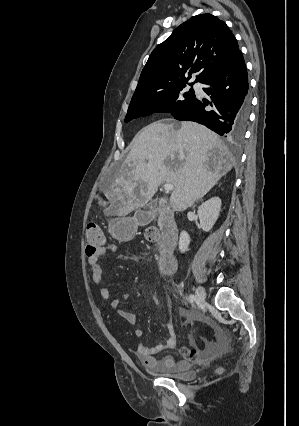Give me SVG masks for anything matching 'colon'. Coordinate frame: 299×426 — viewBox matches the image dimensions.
Instances as JSON below:
<instances>
[{"label": "colon", "instance_id": "1", "mask_svg": "<svg viewBox=\"0 0 299 426\" xmlns=\"http://www.w3.org/2000/svg\"><path fill=\"white\" fill-rule=\"evenodd\" d=\"M86 236V255L92 256L99 248L105 244V237L98 225L89 224L85 232ZM146 237L149 240H155L158 238V233L154 228H150L146 231Z\"/></svg>", "mask_w": 299, "mask_h": 426}]
</instances>
